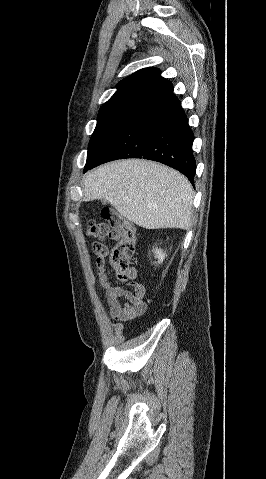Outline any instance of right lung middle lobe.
I'll use <instances>...</instances> for the list:
<instances>
[{
    "label": "right lung middle lobe",
    "instance_id": "obj_1",
    "mask_svg": "<svg viewBox=\"0 0 266 479\" xmlns=\"http://www.w3.org/2000/svg\"><path fill=\"white\" fill-rule=\"evenodd\" d=\"M137 113L138 112L134 111H119L98 115L97 126L89 142L84 171L94 162L109 141L133 119Z\"/></svg>",
    "mask_w": 266,
    "mask_h": 479
}]
</instances>
